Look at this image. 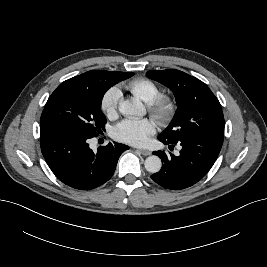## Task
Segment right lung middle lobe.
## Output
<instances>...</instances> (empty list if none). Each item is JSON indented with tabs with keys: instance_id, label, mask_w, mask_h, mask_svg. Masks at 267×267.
Listing matches in <instances>:
<instances>
[{
	"instance_id": "obj_1",
	"label": "right lung middle lobe",
	"mask_w": 267,
	"mask_h": 267,
	"mask_svg": "<svg viewBox=\"0 0 267 267\" xmlns=\"http://www.w3.org/2000/svg\"><path fill=\"white\" fill-rule=\"evenodd\" d=\"M133 74L113 71L112 76L105 81L96 80L88 84L63 82L49 97L40 124L48 123L88 137H96L104 130L106 123L101 111L105 92Z\"/></svg>"
}]
</instances>
